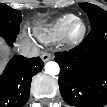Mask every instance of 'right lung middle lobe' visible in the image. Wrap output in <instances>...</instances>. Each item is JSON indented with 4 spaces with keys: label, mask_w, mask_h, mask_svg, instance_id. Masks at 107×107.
Returning a JSON list of instances; mask_svg holds the SVG:
<instances>
[{
    "label": "right lung middle lobe",
    "mask_w": 107,
    "mask_h": 107,
    "mask_svg": "<svg viewBox=\"0 0 107 107\" xmlns=\"http://www.w3.org/2000/svg\"><path fill=\"white\" fill-rule=\"evenodd\" d=\"M22 20L19 10L12 9L6 4H0V34H18Z\"/></svg>",
    "instance_id": "obj_1"
}]
</instances>
